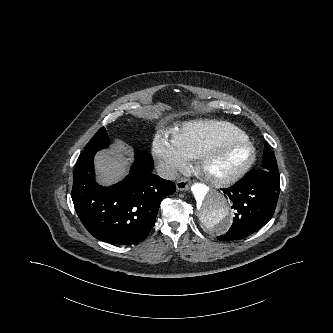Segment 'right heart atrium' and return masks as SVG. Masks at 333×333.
<instances>
[{"mask_svg": "<svg viewBox=\"0 0 333 333\" xmlns=\"http://www.w3.org/2000/svg\"><path fill=\"white\" fill-rule=\"evenodd\" d=\"M152 153L160 173L165 178H174L188 165V159L180 151L174 140L163 133L155 135L152 142Z\"/></svg>", "mask_w": 333, "mask_h": 333, "instance_id": "1", "label": "right heart atrium"}]
</instances>
